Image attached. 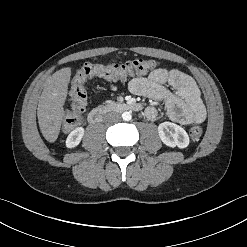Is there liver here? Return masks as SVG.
<instances>
[{
    "label": "liver",
    "mask_w": 247,
    "mask_h": 247,
    "mask_svg": "<svg viewBox=\"0 0 247 247\" xmlns=\"http://www.w3.org/2000/svg\"><path fill=\"white\" fill-rule=\"evenodd\" d=\"M71 69L63 68L49 77L39 98L37 117L43 137L50 143L57 140L63 120Z\"/></svg>",
    "instance_id": "1"
}]
</instances>
